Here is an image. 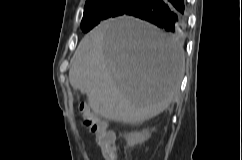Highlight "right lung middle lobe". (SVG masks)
I'll list each match as a JSON object with an SVG mask.
<instances>
[{
    "label": "right lung middle lobe",
    "instance_id": "right-lung-middle-lobe-1",
    "mask_svg": "<svg viewBox=\"0 0 242 160\" xmlns=\"http://www.w3.org/2000/svg\"><path fill=\"white\" fill-rule=\"evenodd\" d=\"M142 0H87L81 22L83 32L90 31L101 20L125 14Z\"/></svg>",
    "mask_w": 242,
    "mask_h": 160
}]
</instances>
